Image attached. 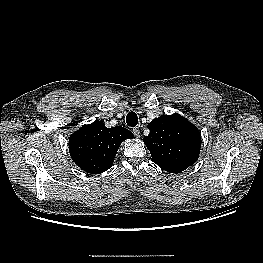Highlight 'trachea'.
Instances as JSON below:
<instances>
[{"instance_id":"1","label":"trachea","mask_w":263,"mask_h":263,"mask_svg":"<svg viewBox=\"0 0 263 263\" xmlns=\"http://www.w3.org/2000/svg\"><path fill=\"white\" fill-rule=\"evenodd\" d=\"M126 123L130 127H135L138 123V117L135 112H129L126 116Z\"/></svg>"}]
</instances>
